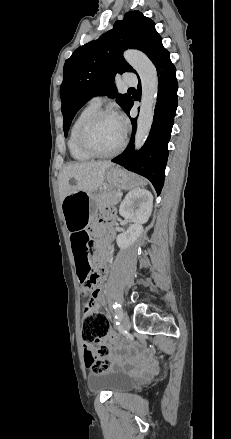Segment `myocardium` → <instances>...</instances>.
<instances>
[{
	"instance_id": "f54148a6",
	"label": "myocardium",
	"mask_w": 231,
	"mask_h": 439,
	"mask_svg": "<svg viewBox=\"0 0 231 439\" xmlns=\"http://www.w3.org/2000/svg\"><path fill=\"white\" fill-rule=\"evenodd\" d=\"M105 116L116 118V115L113 111H111L109 109H98V110L94 111L92 114H90L82 122V124L79 127L78 133H77V142H78L79 147L86 154H88L90 157H93V158L114 157L124 149V147L126 146V143H127L126 132H123V136H122V140H121L120 144L112 151L105 152V153L98 152L90 145L88 138H87V135H88L90 128L97 120H99L100 118L105 117Z\"/></svg>"
}]
</instances>
